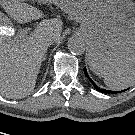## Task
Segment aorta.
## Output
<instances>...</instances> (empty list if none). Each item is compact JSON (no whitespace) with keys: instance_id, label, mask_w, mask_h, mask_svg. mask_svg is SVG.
Wrapping results in <instances>:
<instances>
[{"instance_id":"1","label":"aorta","mask_w":135,"mask_h":135,"mask_svg":"<svg viewBox=\"0 0 135 135\" xmlns=\"http://www.w3.org/2000/svg\"><path fill=\"white\" fill-rule=\"evenodd\" d=\"M68 49L75 55H82L86 49V44L83 38L73 36L68 40Z\"/></svg>"}]
</instances>
